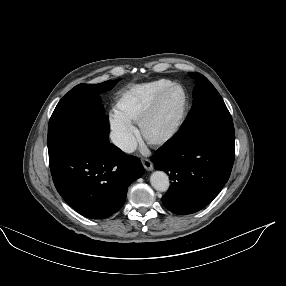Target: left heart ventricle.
<instances>
[{
	"label": "left heart ventricle",
	"mask_w": 286,
	"mask_h": 286,
	"mask_svg": "<svg viewBox=\"0 0 286 286\" xmlns=\"http://www.w3.org/2000/svg\"><path fill=\"white\" fill-rule=\"evenodd\" d=\"M183 101L180 89L170 91L159 104L153 118L146 127V133L151 138H156L165 133L177 119Z\"/></svg>",
	"instance_id": "1"
}]
</instances>
